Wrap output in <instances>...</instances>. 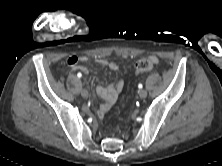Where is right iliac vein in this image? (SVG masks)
Segmentation results:
<instances>
[{"label":"right iliac vein","mask_w":222,"mask_h":166,"mask_svg":"<svg viewBox=\"0 0 222 166\" xmlns=\"http://www.w3.org/2000/svg\"><path fill=\"white\" fill-rule=\"evenodd\" d=\"M81 96H82L83 98H87V97H88V91H87L86 89H82V90H81Z\"/></svg>","instance_id":"obj_1"}]
</instances>
